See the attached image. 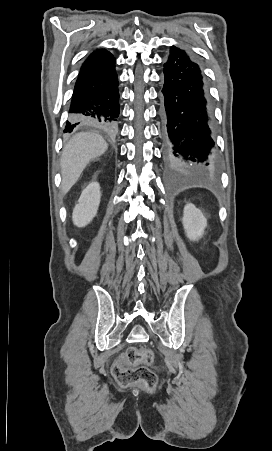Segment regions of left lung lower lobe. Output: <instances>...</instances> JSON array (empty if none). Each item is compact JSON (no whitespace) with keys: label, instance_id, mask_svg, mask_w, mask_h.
Listing matches in <instances>:
<instances>
[{"label":"left lung lower lobe","instance_id":"obj_1","mask_svg":"<svg viewBox=\"0 0 272 451\" xmlns=\"http://www.w3.org/2000/svg\"><path fill=\"white\" fill-rule=\"evenodd\" d=\"M163 72L160 116L166 162L189 169L216 168L206 81L198 63L172 46Z\"/></svg>","mask_w":272,"mask_h":451}]
</instances>
